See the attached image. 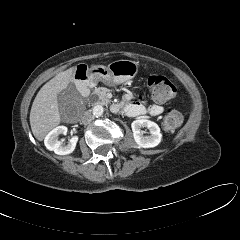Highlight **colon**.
<instances>
[{
	"instance_id": "obj_1",
	"label": "colon",
	"mask_w": 240,
	"mask_h": 240,
	"mask_svg": "<svg viewBox=\"0 0 240 240\" xmlns=\"http://www.w3.org/2000/svg\"><path fill=\"white\" fill-rule=\"evenodd\" d=\"M145 83L153 100L164 103L173 99L176 95V87L162 75H151L146 78ZM183 121L181 113L176 110H168L163 120L165 131L172 132L177 129Z\"/></svg>"
}]
</instances>
